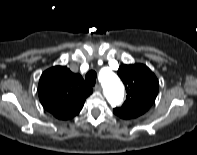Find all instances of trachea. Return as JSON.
Listing matches in <instances>:
<instances>
[{"label":"trachea","instance_id":"3493384b","mask_svg":"<svg viewBox=\"0 0 197 155\" xmlns=\"http://www.w3.org/2000/svg\"><path fill=\"white\" fill-rule=\"evenodd\" d=\"M96 78H97V74L94 70H90L85 76L87 83L91 86L95 85Z\"/></svg>","mask_w":197,"mask_h":155}]
</instances>
